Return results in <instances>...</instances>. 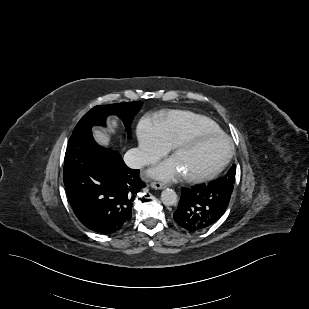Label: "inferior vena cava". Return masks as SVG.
I'll return each mask as SVG.
<instances>
[{
	"label": "inferior vena cava",
	"mask_w": 309,
	"mask_h": 309,
	"mask_svg": "<svg viewBox=\"0 0 309 309\" xmlns=\"http://www.w3.org/2000/svg\"><path fill=\"white\" fill-rule=\"evenodd\" d=\"M158 160L157 156L144 153L139 149H131L124 155L125 164L132 169H140L144 165L156 163Z\"/></svg>",
	"instance_id": "602c4592"
}]
</instances>
